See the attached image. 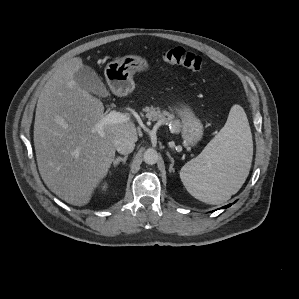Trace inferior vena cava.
Returning <instances> with one entry per match:
<instances>
[{
	"label": "inferior vena cava",
	"instance_id": "602c4592",
	"mask_svg": "<svg viewBox=\"0 0 299 299\" xmlns=\"http://www.w3.org/2000/svg\"><path fill=\"white\" fill-rule=\"evenodd\" d=\"M135 148V143L131 140L123 139L118 142L116 150L123 155L131 153Z\"/></svg>",
	"mask_w": 299,
	"mask_h": 299
}]
</instances>
